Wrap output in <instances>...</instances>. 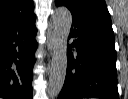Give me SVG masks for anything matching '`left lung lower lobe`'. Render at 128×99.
I'll list each match as a JSON object with an SVG mask.
<instances>
[{
    "label": "left lung lower lobe",
    "mask_w": 128,
    "mask_h": 99,
    "mask_svg": "<svg viewBox=\"0 0 128 99\" xmlns=\"http://www.w3.org/2000/svg\"><path fill=\"white\" fill-rule=\"evenodd\" d=\"M70 37L77 39L67 47L66 78L58 99H119L112 27L73 19Z\"/></svg>",
    "instance_id": "0a47b994"
}]
</instances>
